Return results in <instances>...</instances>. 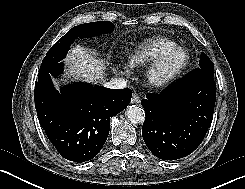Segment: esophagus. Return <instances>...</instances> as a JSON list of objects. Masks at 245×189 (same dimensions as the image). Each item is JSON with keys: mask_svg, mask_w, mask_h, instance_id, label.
I'll list each match as a JSON object with an SVG mask.
<instances>
[{"mask_svg": "<svg viewBox=\"0 0 245 189\" xmlns=\"http://www.w3.org/2000/svg\"><path fill=\"white\" fill-rule=\"evenodd\" d=\"M141 101L140 96L137 93H134L131 98L132 104H139Z\"/></svg>", "mask_w": 245, "mask_h": 189, "instance_id": "obj_1", "label": "esophagus"}]
</instances>
